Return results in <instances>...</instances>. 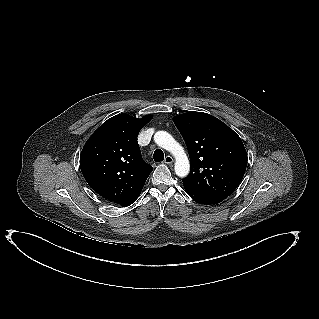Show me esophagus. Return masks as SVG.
<instances>
[{"mask_svg":"<svg viewBox=\"0 0 319 319\" xmlns=\"http://www.w3.org/2000/svg\"><path fill=\"white\" fill-rule=\"evenodd\" d=\"M173 162H174V159H173L171 156H169V155H167V156L165 157V159H164V163H165V164L170 165V164H172Z\"/></svg>","mask_w":319,"mask_h":319,"instance_id":"34e87169","label":"esophagus"}]
</instances>
